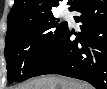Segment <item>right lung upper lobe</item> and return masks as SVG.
<instances>
[{"mask_svg": "<svg viewBox=\"0 0 107 89\" xmlns=\"http://www.w3.org/2000/svg\"><path fill=\"white\" fill-rule=\"evenodd\" d=\"M59 1L60 0H15L8 15V27L30 20L53 16L52 9L59 5ZM75 1L76 0H69L68 4L72 6Z\"/></svg>", "mask_w": 107, "mask_h": 89, "instance_id": "cb5924a9", "label": "right lung upper lobe"}]
</instances>
